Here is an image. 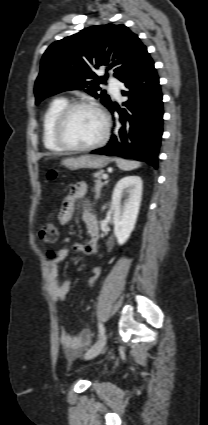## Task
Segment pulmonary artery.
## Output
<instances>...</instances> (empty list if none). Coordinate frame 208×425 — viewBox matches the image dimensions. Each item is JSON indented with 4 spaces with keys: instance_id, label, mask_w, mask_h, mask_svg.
<instances>
[{
    "instance_id": "e3ab8cb5",
    "label": "pulmonary artery",
    "mask_w": 208,
    "mask_h": 425,
    "mask_svg": "<svg viewBox=\"0 0 208 425\" xmlns=\"http://www.w3.org/2000/svg\"><path fill=\"white\" fill-rule=\"evenodd\" d=\"M110 88H111V91H112V93H113V95L115 97H119L120 96L119 87H118V85H117V83H116V81L114 79H111L110 80Z\"/></svg>"
}]
</instances>
